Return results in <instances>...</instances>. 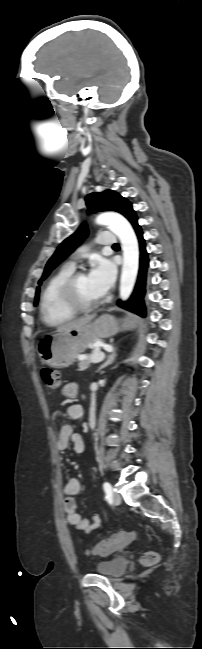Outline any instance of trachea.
I'll return each mask as SVG.
<instances>
[{"label":"trachea","instance_id":"obj_1","mask_svg":"<svg viewBox=\"0 0 202 649\" xmlns=\"http://www.w3.org/2000/svg\"><path fill=\"white\" fill-rule=\"evenodd\" d=\"M118 246H119V245H118L117 243L113 245V247H118Z\"/></svg>","mask_w":202,"mask_h":649}]
</instances>
